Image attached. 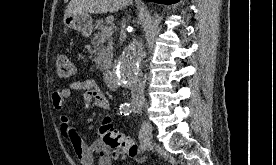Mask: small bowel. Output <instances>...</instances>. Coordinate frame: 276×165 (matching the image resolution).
Returning a JSON list of instances; mask_svg holds the SVG:
<instances>
[{"instance_id":"c3829d8e","label":"small bowel","mask_w":276,"mask_h":165,"mask_svg":"<svg viewBox=\"0 0 276 165\" xmlns=\"http://www.w3.org/2000/svg\"><path fill=\"white\" fill-rule=\"evenodd\" d=\"M81 91L88 98L91 108L106 110L108 101L98 83L91 78L75 80L66 87H58L52 92V104L59 115V126L65 138L81 165H112L113 162L124 160L126 155L120 150H114L101 139L90 143L81 139L76 129L71 125L66 101L74 93ZM97 157V160H96Z\"/></svg>"}]
</instances>
